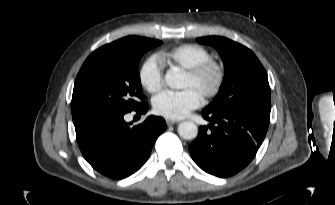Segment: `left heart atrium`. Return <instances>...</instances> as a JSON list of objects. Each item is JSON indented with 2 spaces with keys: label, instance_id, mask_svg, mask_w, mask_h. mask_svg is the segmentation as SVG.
Masks as SVG:
<instances>
[{
  "label": "left heart atrium",
  "instance_id": "39dd6f15",
  "mask_svg": "<svg viewBox=\"0 0 335 205\" xmlns=\"http://www.w3.org/2000/svg\"><path fill=\"white\" fill-rule=\"evenodd\" d=\"M202 102L201 93L193 87L181 91L165 90L154 97L153 110L169 119H181L201 106Z\"/></svg>",
  "mask_w": 335,
  "mask_h": 205
}]
</instances>
